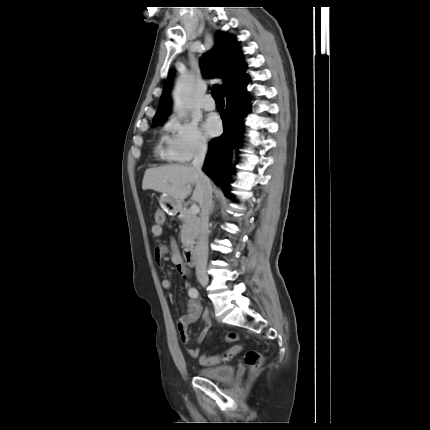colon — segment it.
Wrapping results in <instances>:
<instances>
[{
    "label": "colon",
    "instance_id": "1",
    "mask_svg": "<svg viewBox=\"0 0 430 430\" xmlns=\"http://www.w3.org/2000/svg\"><path fill=\"white\" fill-rule=\"evenodd\" d=\"M154 219L157 225L164 223L165 215L161 210H157L154 213ZM224 340L227 343H233L238 340V334L235 332H229L225 335ZM240 349L238 346H234L222 354H217L213 356L202 355L200 357V363L204 366H214L222 363L223 361H228L233 358ZM245 362L251 372H255L262 363V355L256 351H249L245 356Z\"/></svg>",
    "mask_w": 430,
    "mask_h": 430
}]
</instances>
